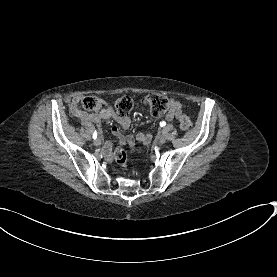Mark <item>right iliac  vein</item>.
<instances>
[{"label": "right iliac vein", "mask_w": 277, "mask_h": 277, "mask_svg": "<svg viewBox=\"0 0 277 277\" xmlns=\"http://www.w3.org/2000/svg\"><path fill=\"white\" fill-rule=\"evenodd\" d=\"M94 145H95V146L101 145V139H100V138H96V139L94 140Z\"/></svg>", "instance_id": "1"}]
</instances>
